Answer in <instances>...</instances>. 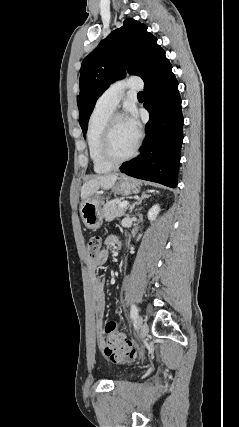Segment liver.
<instances>
[{"label": "liver", "mask_w": 239, "mask_h": 427, "mask_svg": "<svg viewBox=\"0 0 239 427\" xmlns=\"http://www.w3.org/2000/svg\"><path fill=\"white\" fill-rule=\"evenodd\" d=\"M118 179L117 174L97 176L83 184L81 188V199L84 201L96 193L99 188L108 190L112 188Z\"/></svg>", "instance_id": "6515ba94"}]
</instances>
